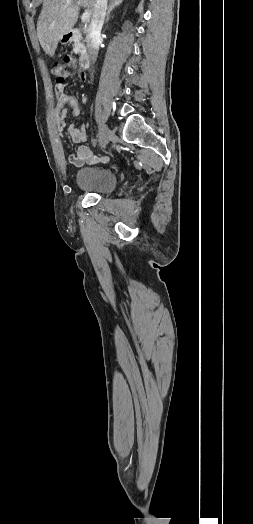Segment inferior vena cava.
<instances>
[{
  "mask_svg": "<svg viewBox=\"0 0 253 524\" xmlns=\"http://www.w3.org/2000/svg\"><path fill=\"white\" fill-rule=\"evenodd\" d=\"M107 2L108 0H96L95 11L93 13L91 23L88 28L87 45L89 48L90 61L92 65L96 62L98 55L99 41L102 26L104 23V18L106 15ZM91 76H93V73L91 74Z\"/></svg>",
  "mask_w": 253,
  "mask_h": 524,
  "instance_id": "inferior-vena-cava-1",
  "label": "inferior vena cava"
}]
</instances>
